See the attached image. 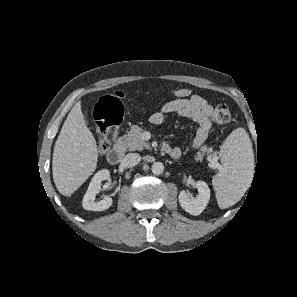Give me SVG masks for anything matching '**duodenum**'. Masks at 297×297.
I'll use <instances>...</instances> for the list:
<instances>
[{"label": "duodenum", "instance_id": "obj_1", "mask_svg": "<svg viewBox=\"0 0 297 297\" xmlns=\"http://www.w3.org/2000/svg\"><path fill=\"white\" fill-rule=\"evenodd\" d=\"M161 151L165 154L170 153V149L167 145H163ZM124 153V145L122 143H117L107 154V159L111 164H117L122 160Z\"/></svg>", "mask_w": 297, "mask_h": 297}]
</instances>
